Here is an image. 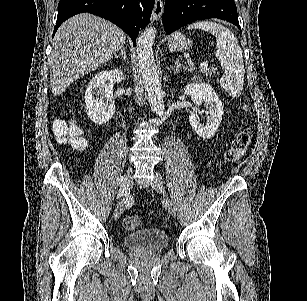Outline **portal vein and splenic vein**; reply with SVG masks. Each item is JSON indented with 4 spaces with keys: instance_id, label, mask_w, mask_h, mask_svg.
Wrapping results in <instances>:
<instances>
[{
    "instance_id": "1",
    "label": "portal vein and splenic vein",
    "mask_w": 307,
    "mask_h": 301,
    "mask_svg": "<svg viewBox=\"0 0 307 301\" xmlns=\"http://www.w3.org/2000/svg\"><path fill=\"white\" fill-rule=\"evenodd\" d=\"M200 70L203 72V70H208V62L205 60V62H200Z\"/></svg>"
}]
</instances>
